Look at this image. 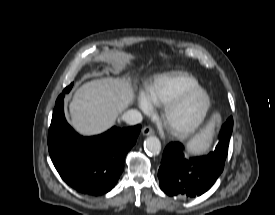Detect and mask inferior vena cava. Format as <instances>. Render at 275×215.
<instances>
[{"label": "inferior vena cava", "mask_w": 275, "mask_h": 215, "mask_svg": "<svg viewBox=\"0 0 275 215\" xmlns=\"http://www.w3.org/2000/svg\"><path fill=\"white\" fill-rule=\"evenodd\" d=\"M122 119L129 125H136L141 123L143 118L139 111L131 109L123 114Z\"/></svg>", "instance_id": "inferior-vena-cava-1"}]
</instances>
